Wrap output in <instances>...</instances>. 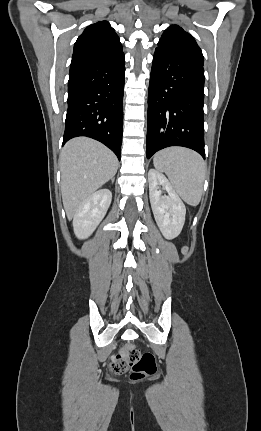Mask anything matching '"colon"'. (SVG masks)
Instances as JSON below:
<instances>
[{
  "label": "colon",
  "instance_id": "1",
  "mask_svg": "<svg viewBox=\"0 0 261 431\" xmlns=\"http://www.w3.org/2000/svg\"><path fill=\"white\" fill-rule=\"evenodd\" d=\"M184 252H187L186 248ZM110 368L117 374L128 371L131 379L140 380L155 374L156 362L152 353H142L133 345H125L112 356Z\"/></svg>",
  "mask_w": 261,
  "mask_h": 431
}]
</instances>
